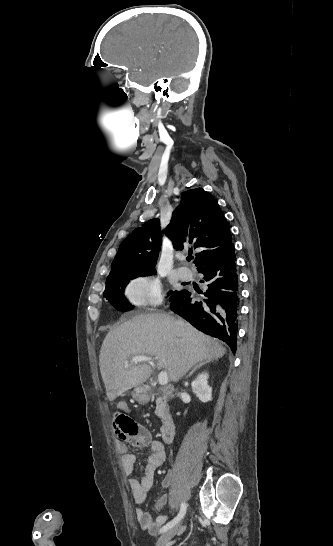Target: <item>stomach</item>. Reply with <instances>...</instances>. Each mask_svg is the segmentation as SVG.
Returning <instances> with one entry per match:
<instances>
[{
  "label": "stomach",
  "instance_id": "obj_1",
  "mask_svg": "<svg viewBox=\"0 0 333 546\" xmlns=\"http://www.w3.org/2000/svg\"><path fill=\"white\" fill-rule=\"evenodd\" d=\"M132 397L136 402L142 404L147 401L148 394L143 386H136L132 391Z\"/></svg>",
  "mask_w": 333,
  "mask_h": 546
}]
</instances>
